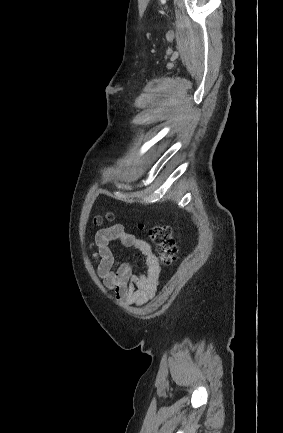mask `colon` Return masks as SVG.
<instances>
[{
    "instance_id": "5ec220e1",
    "label": "colon",
    "mask_w": 283,
    "mask_h": 433,
    "mask_svg": "<svg viewBox=\"0 0 283 433\" xmlns=\"http://www.w3.org/2000/svg\"><path fill=\"white\" fill-rule=\"evenodd\" d=\"M108 218H112L108 215ZM95 224L101 223V218L94 219ZM150 239L155 243L159 259L164 266H171L177 255V245L172 229L167 225H156L148 229Z\"/></svg>"
}]
</instances>
